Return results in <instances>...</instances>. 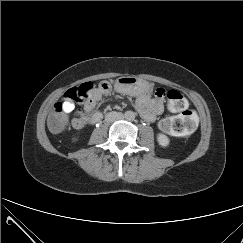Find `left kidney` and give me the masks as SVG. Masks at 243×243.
Instances as JSON below:
<instances>
[{
    "label": "left kidney",
    "instance_id": "left-kidney-1",
    "mask_svg": "<svg viewBox=\"0 0 243 243\" xmlns=\"http://www.w3.org/2000/svg\"><path fill=\"white\" fill-rule=\"evenodd\" d=\"M157 141H158L159 145L162 146V147H167L170 143L169 138L162 133H159L157 135Z\"/></svg>",
    "mask_w": 243,
    "mask_h": 243
}]
</instances>
